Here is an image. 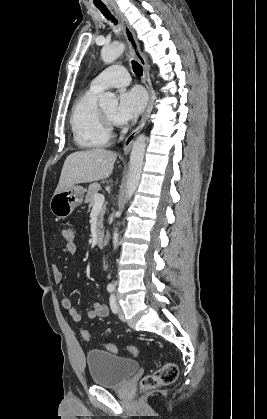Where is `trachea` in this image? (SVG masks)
Returning a JSON list of instances; mask_svg holds the SVG:
<instances>
[{
	"label": "trachea",
	"mask_w": 267,
	"mask_h": 419,
	"mask_svg": "<svg viewBox=\"0 0 267 419\" xmlns=\"http://www.w3.org/2000/svg\"><path fill=\"white\" fill-rule=\"evenodd\" d=\"M97 8L102 12V14L108 19L111 20L112 22H114V24H117V20L112 16V14L110 13V11L105 7V6H97ZM132 68L134 73L137 76H142L143 74V68L142 66L136 62V61H132Z\"/></svg>",
	"instance_id": "3493384b"
}]
</instances>
